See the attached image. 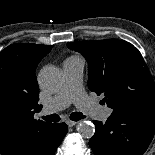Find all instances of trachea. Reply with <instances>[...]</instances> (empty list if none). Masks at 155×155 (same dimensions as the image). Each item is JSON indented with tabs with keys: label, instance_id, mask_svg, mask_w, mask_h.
<instances>
[{
	"label": "trachea",
	"instance_id": "trachea-1",
	"mask_svg": "<svg viewBox=\"0 0 155 155\" xmlns=\"http://www.w3.org/2000/svg\"><path fill=\"white\" fill-rule=\"evenodd\" d=\"M85 117L86 116H84L81 112H73L70 115V119L72 121H79ZM42 119H44L47 122H59L60 121V117L57 114L43 116Z\"/></svg>",
	"mask_w": 155,
	"mask_h": 155
}]
</instances>
